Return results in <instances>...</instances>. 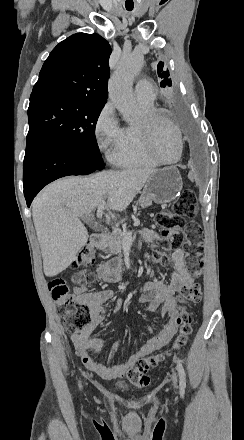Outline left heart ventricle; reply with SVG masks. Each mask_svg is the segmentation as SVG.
<instances>
[{"label":"left heart ventricle","mask_w":244,"mask_h":440,"mask_svg":"<svg viewBox=\"0 0 244 440\" xmlns=\"http://www.w3.org/2000/svg\"><path fill=\"white\" fill-rule=\"evenodd\" d=\"M167 124L162 121L159 124H153L150 128H154L156 131L151 139L155 151H158L164 160H173L177 155L178 137Z\"/></svg>","instance_id":"obj_1"}]
</instances>
